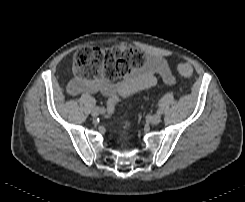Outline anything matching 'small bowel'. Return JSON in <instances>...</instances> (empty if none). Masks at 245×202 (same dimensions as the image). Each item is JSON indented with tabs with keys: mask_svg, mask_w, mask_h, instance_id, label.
Masks as SVG:
<instances>
[{
	"mask_svg": "<svg viewBox=\"0 0 245 202\" xmlns=\"http://www.w3.org/2000/svg\"><path fill=\"white\" fill-rule=\"evenodd\" d=\"M161 78L167 85H175L176 78L172 74L166 60L160 56H149L143 67L135 68L120 82L113 83L104 77L94 80L77 78L71 82V94L100 92L109 97L110 110L125 97L154 86Z\"/></svg>",
	"mask_w": 245,
	"mask_h": 202,
	"instance_id": "obj_1",
	"label": "small bowel"
}]
</instances>
